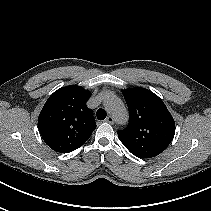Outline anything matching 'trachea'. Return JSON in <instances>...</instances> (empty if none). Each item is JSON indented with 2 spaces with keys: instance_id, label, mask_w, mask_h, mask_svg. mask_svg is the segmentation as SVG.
<instances>
[{
  "instance_id": "3493384b",
  "label": "trachea",
  "mask_w": 211,
  "mask_h": 211,
  "mask_svg": "<svg viewBox=\"0 0 211 211\" xmlns=\"http://www.w3.org/2000/svg\"><path fill=\"white\" fill-rule=\"evenodd\" d=\"M106 111L104 109H98L97 112H96V116L98 118V120H104L106 118Z\"/></svg>"
}]
</instances>
